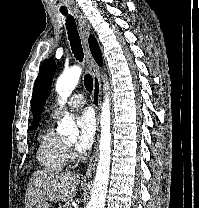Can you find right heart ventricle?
<instances>
[{"mask_svg":"<svg viewBox=\"0 0 199 208\" xmlns=\"http://www.w3.org/2000/svg\"><path fill=\"white\" fill-rule=\"evenodd\" d=\"M37 159L40 165L49 171L63 170L70 162L67 142L55 132L52 123H49L39 135Z\"/></svg>","mask_w":199,"mask_h":208,"instance_id":"1","label":"right heart ventricle"}]
</instances>
